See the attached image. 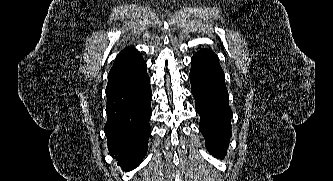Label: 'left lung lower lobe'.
Segmentation results:
<instances>
[{"label": "left lung lower lobe", "instance_id": "1", "mask_svg": "<svg viewBox=\"0 0 333 181\" xmlns=\"http://www.w3.org/2000/svg\"><path fill=\"white\" fill-rule=\"evenodd\" d=\"M191 65V91L200 115V131L210 154L223 158L231 137L232 118L224 72L217 55L208 49L195 53Z\"/></svg>", "mask_w": 333, "mask_h": 181}]
</instances>
